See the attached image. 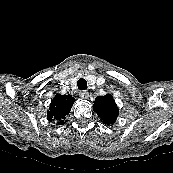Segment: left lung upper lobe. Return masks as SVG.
<instances>
[{"instance_id": "left-lung-upper-lobe-1", "label": "left lung upper lobe", "mask_w": 173, "mask_h": 173, "mask_svg": "<svg viewBox=\"0 0 173 173\" xmlns=\"http://www.w3.org/2000/svg\"><path fill=\"white\" fill-rule=\"evenodd\" d=\"M93 108L105 125L115 123L119 115L118 107L110 94L97 97Z\"/></svg>"}]
</instances>
